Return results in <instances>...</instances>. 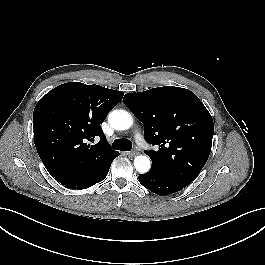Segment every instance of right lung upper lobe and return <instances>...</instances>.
<instances>
[{
    "label": "right lung upper lobe",
    "instance_id": "right-lung-upper-lobe-1",
    "mask_svg": "<svg viewBox=\"0 0 265 265\" xmlns=\"http://www.w3.org/2000/svg\"><path fill=\"white\" fill-rule=\"evenodd\" d=\"M123 95L99 85L69 82L40 99L33 112L34 142L53 178L101 168L118 156L100 124ZM94 139L100 141L91 145Z\"/></svg>",
    "mask_w": 265,
    "mask_h": 265
}]
</instances>
